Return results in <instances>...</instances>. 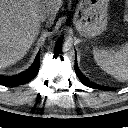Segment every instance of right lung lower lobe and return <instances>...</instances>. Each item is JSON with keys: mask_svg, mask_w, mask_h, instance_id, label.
Instances as JSON below:
<instances>
[{"mask_svg": "<svg viewBox=\"0 0 128 128\" xmlns=\"http://www.w3.org/2000/svg\"><path fill=\"white\" fill-rule=\"evenodd\" d=\"M40 53L37 54L36 59L32 66L22 74L16 76H2L0 75V85H9V86H17L21 84H25L32 80L38 73L40 67Z\"/></svg>", "mask_w": 128, "mask_h": 128, "instance_id": "right-lung-lower-lobe-1", "label": "right lung lower lobe"}]
</instances>
